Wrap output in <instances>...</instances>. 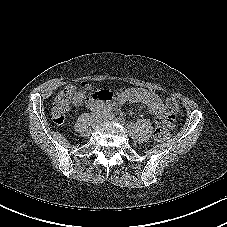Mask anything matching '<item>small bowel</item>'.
Listing matches in <instances>:
<instances>
[{
	"mask_svg": "<svg viewBox=\"0 0 227 227\" xmlns=\"http://www.w3.org/2000/svg\"><path fill=\"white\" fill-rule=\"evenodd\" d=\"M120 103H142L144 104L157 125L159 126H172V122L166 118L164 114V107L159 96L149 90L142 88H128L118 96Z\"/></svg>",
	"mask_w": 227,
	"mask_h": 227,
	"instance_id": "obj_1",
	"label": "small bowel"
}]
</instances>
